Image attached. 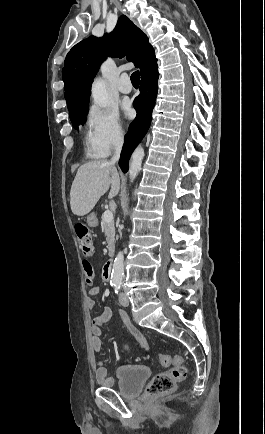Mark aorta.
<instances>
[{
	"mask_svg": "<svg viewBox=\"0 0 265 434\" xmlns=\"http://www.w3.org/2000/svg\"><path fill=\"white\" fill-rule=\"evenodd\" d=\"M92 98L94 100V104L100 106V108H107L109 104V96L106 90V84L102 78H97L94 80L92 84ZM144 158V150L141 146L136 148L135 152L132 154L130 166H129V176L131 182L135 180L138 172L141 170L142 160ZM124 278V254L123 252H118L112 272H111V280L116 284V282H122Z\"/></svg>",
	"mask_w": 265,
	"mask_h": 434,
	"instance_id": "762f6f07",
	"label": "aorta"
}]
</instances>
